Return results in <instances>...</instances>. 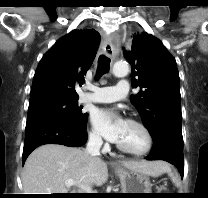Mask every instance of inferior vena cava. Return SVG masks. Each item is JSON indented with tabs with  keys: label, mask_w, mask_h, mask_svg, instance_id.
Here are the masks:
<instances>
[{
	"label": "inferior vena cava",
	"mask_w": 208,
	"mask_h": 198,
	"mask_svg": "<svg viewBox=\"0 0 208 198\" xmlns=\"http://www.w3.org/2000/svg\"><path fill=\"white\" fill-rule=\"evenodd\" d=\"M102 146V139L99 136H91L86 146V153L92 157L100 155V148Z\"/></svg>",
	"instance_id": "1"
}]
</instances>
